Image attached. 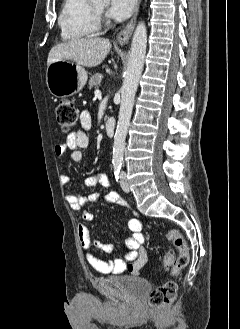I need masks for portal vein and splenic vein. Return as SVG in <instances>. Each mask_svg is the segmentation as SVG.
Segmentation results:
<instances>
[{"instance_id":"18ae733b","label":"portal vein and splenic vein","mask_w":240,"mask_h":329,"mask_svg":"<svg viewBox=\"0 0 240 329\" xmlns=\"http://www.w3.org/2000/svg\"><path fill=\"white\" fill-rule=\"evenodd\" d=\"M95 95H101V91L100 90H96L95 91Z\"/></svg>"}]
</instances>
